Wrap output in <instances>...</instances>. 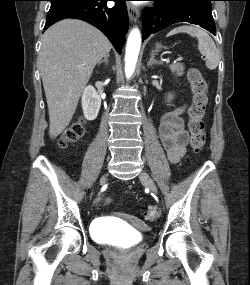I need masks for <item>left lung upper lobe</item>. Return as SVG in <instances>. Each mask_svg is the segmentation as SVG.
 <instances>
[{
  "label": "left lung upper lobe",
  "instance_id": "left-lung-upper-lobe-1",
  "mask_svg": "<svg viewBox=\"0 0 250 285\" xmlns=\"http://www.w3.org/2000/svg\"><path fill=\"white\" fill-rule=\"evenodd\" d=\"M161 1L168 6L177 4V3L182 2V1H196V2H199L201 4L211 6V1H213V0H161Z\"/></svg>",
  "mask_w": 250,
  "mask_h": 285
}]
</instances>
